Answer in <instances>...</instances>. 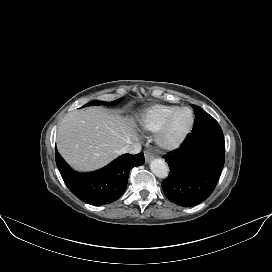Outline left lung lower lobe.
Instances as JSON below:
<instances>
[{"label":"left lung lower lobe","mask_w":272,"mask_h":272,"mask_svg":"<svg viewBox=\"0 0 272 272\" xmlns=\"http://www.w3.org/2000/svg\"><path fill=\"white\" fill-rule=\"evenodd\" d=\"M170 174L162 182L166 197L177 205L192 207L213 192L225 160V141L217 122L191 132L180 148L163 156Z\"/></svg>","instance_id":"0a47b994"}]
</instances>
